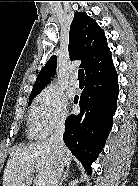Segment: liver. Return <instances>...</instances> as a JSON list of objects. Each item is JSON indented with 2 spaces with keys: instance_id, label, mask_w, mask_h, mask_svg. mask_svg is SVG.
I'll return each mask as SVG.
<instances>
[{
  "instance_id": "6515ba94",
  "label": "liver",
  "mask_w": 138,
  "mask_h": 186,
  "mask_svg": "<svg viewBox=\"0 0 138 186\" xmlns=\"http://www.w3.org/2000/svg\"><path fill=\"white\" fill-rule=\"evenodd\" d=\"M72 153L65 147L64 166L70 165ZM57 156L49 141H38L13 149L3 175V186H30L36 173L38 181L48 186ZM31 172V175H29Z\"/></svg>"
}]
</instances>
